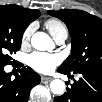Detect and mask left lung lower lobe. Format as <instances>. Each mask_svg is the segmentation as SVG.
<instances>
[{
  "mask_svg": "<svg viewBox=\"0 0 102 102\" xmlns=\"http://www.w3.org/2000/svg\"><path fill=\"white\" fill-rule=\"evenodd\" d=\"M62 74L68 72L58 70ZM77 74V73H75ZM82 75L79 81L67 87V92L62 96L55 97L54 102H101L102 101V71L79 72Z\"/></svg>",
  "mask_w": 102,
  "mask_h": 102,
  "instance_id": "1",
  "label": "left lung lower lobe"
}]
</instances>
